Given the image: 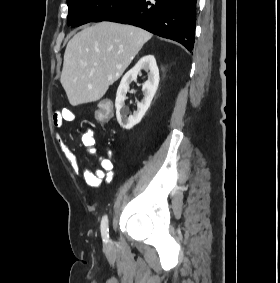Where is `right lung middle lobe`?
Returning <instances> with one entry per match:
<instances>
[{
  "instance_id": "obj_1",
  "label": "right lung middle lobe",
  "mask_w": 280,
  "mask_h": 283,
  "mask_svg": "<svg viewBox=\"0 0 280 283\" xmlns=\"http://www.w3.org/2000/svg\"><path fill=\"white\" fill-rule=\"evenodd\" d=\"M132 0H67L68 25L77 27L88 22H100Z\"/></svg>"
}]
</instances>
